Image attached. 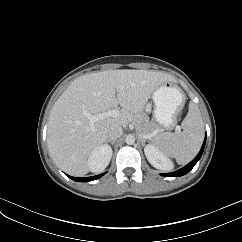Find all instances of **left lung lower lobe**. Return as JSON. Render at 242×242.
Here are the masks:
<instances>
[{
	"instance_id": "0a47b994",
	"label": "left lung lower lobe",
	"mask_w": 242,
	"mask_h": 242,
	"mask_svg": "<svg viewBox=\"0 0 242 242\" xmlns=\"http://www.w3.org/2000/svg\"><path fill=\"white\" fill-rule=\"evenodd\" d=\"M205 141H206V138L204 140V143L201 147V150L200 152L198 153V155L189 163L187 164L185 167L175 171V172H172V173H163L161 174L162 176H166V177H178V176H183L185 174H187L194 166L195 164L198 162V160L200 159L202 153H203V150H204V146H205Z\"/></svg>"
}]
</instances>
